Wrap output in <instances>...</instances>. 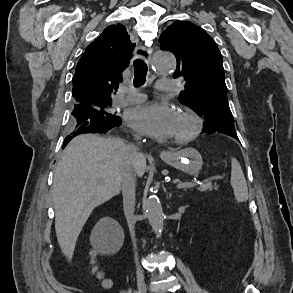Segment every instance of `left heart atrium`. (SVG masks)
Instances as JSON below:
<instances>
[{
	"label": "left heart atrium",
	"mask_w": 293,
	"mask_h": 293,
	"mask_svg": "<svg viewBox=\"0 0 293 293\" xmlns=\"http://www.w3.org/2000/svg\"><path fill=\"white\" fill-rule=\"evenodd\" d=\"M176 114L167 104L146 103L129 109L127 123L141 134L165 138L173 134Z\"/></svg>",
	"instance_id": "1"
}]
</instances>
